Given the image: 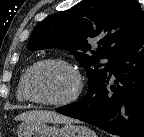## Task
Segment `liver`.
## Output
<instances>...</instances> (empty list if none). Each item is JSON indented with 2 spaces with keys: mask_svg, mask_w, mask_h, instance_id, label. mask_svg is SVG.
<instances>
[{
  "mask_svg": "<svg viewBox=\"0 0 144 137\" xmlns=\"http://www.w3.org/2000/svg\"><path fill=\"white\" fill-rule=\"evenodd\" d=\"M16 121H23L25 123L29 122H46V123H73L74 120L56 113L54 111H44V110H33L26 111L15 117Z\"/></svg>",
  "mask_w": 144,
  "mask_h": 137,
  "instance_id": "liver-1",
  "label": "liver"
}]
</instances>
